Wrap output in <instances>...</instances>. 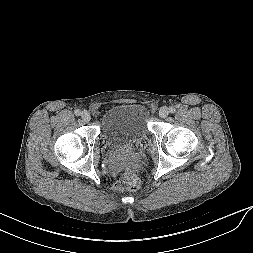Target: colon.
<instances>
[{
	"mask_svg": "<svg viewBox=\"0 0 253 253\" xmlns=\"http://www.w3.org/2000/svg\"><path fill=\"white\" fill-rule=\"evenodd\" d=\"M139 186L140 180L137 175L132 170L126 169L122 174V178L117 182L116 189L118 191L136 190Z\"/></svg>",
	"mask_w": 253,
	"mask_h": 253,
	"instance_id": "5ec220e1",
	"label": "colon"
}]
</instances>
